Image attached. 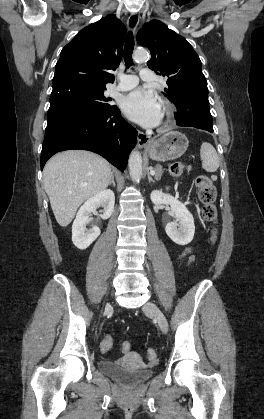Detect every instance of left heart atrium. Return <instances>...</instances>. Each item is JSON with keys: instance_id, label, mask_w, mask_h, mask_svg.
Here are the masks:
<instances>
[{"instance_id": "obj_1", "label": "left heart atrium", "mask_w": 264, "mask_h": 419, "mask_svg": "<svg viewBox=\"0 0 264 419\" xmlns=\"http://www.w3.org/2000/svg\"><path fill=\"white\" fill-rule=\"evenodd\" d=\"M122 107L129 118L145 127L158 125L162 117L161 105L156 95L144 88H136L126 95Z\"/></svg>"}]
</instances>
